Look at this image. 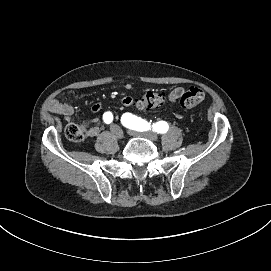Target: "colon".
<instances>
[{"label":"colon","mask_w":271,"mask_h":271,"mask_svg":"<svg viewBox=\"0 0 271 271\" xmlns=\"http://www.w3.org/2000/svg\"><path fill=\"white\" fill-rule=\"evenodd\" d=\"M205 98V92L198 87H191L183 93L180 102L184 108H194ZM165 97L157 91H148L136 101V107L140 110H149L163 105ZM65 135L70 141L79 142L84 139V130L76 125L69 124L65 129Z\"/></svg>","instance_id":"obj_1"}]
</instances>
